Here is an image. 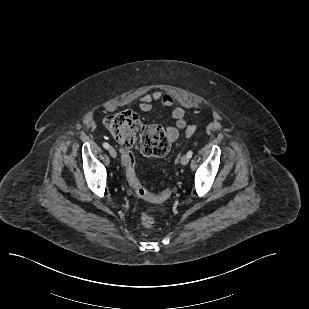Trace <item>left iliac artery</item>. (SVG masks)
Instances as JSON below:
<instances>
[{"mask_svg":"<svg viewBox=\"0 0 309 309\" xmlns=\"http://www.w3.org/2000/svg\"><path fill=\"white\" fill-rule=\"evenodd\" d=\"M192 155H193V152L191 150L187 152V156L189 157V159L192 157Z\"/></svg>","mask_w":309,"mask_h":309,"instance_id":"left-iliac-artery-1","label":"left iliac artery"}]
</instances>
